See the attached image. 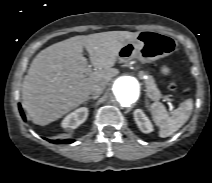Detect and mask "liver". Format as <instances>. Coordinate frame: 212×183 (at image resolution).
Returning <instances> with one entry per match:
<instances>
[{
	"label": "liver",
	"mask_w": 212,
	"mask_h": 183,
	"mask_svg": "<svg viewBox=\"0 0 212 183\" xmlns=\"http://www.w3.org/2000/svg\"><path fill=\"white\" fill-rule=\"evenodd\" d=\"M139 32L108 31L74 36L40 51L22 84V105L35 124L45 126L80 106L95 84L118 74L119 52ZM87 50L95 71H90Z\"/></svg>",
	"instance_id": "1"
}]
</instances>
